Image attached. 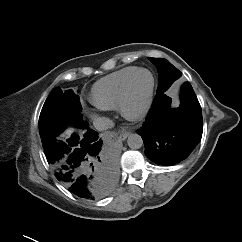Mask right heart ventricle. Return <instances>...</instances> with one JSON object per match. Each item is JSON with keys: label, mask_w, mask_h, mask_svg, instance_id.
<instances>
[{"label": "right heart ventricle", "mask_w": 242, "mask_h": 242, "mask_svg": "<svg viewBox=\"0 0 242 242\" xmlns=\"http://www.w3.org/2000/svg\"><path fill=\"white\" fill-rule=\"evenodd\" d=\"M138 69L134 66L125 67L98 80L91 89L92 103L102 110L117 108L129 78Z\"/></svg>", "instance_id": "1"}]
</instances>
